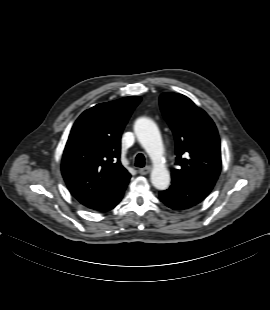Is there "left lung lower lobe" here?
<instances>
[{
  "mask_svg": "<svg viewBox=\"0 0 270 310\" xmlns=\"http://www.w3.org/2000/svg\"><path fill=\"white\" fill-rule=\"evenodd\" d=\"M212 188L189 184L172 178V185L159 193L161 201L174 210H185L203 201Z\"/></svg>",
  "mask_w": 270,
  "mask_h": 310,
  "instance_id": "left-lung-lower-lobe-1",
  "label": "left lung lower lobe"
}]
</instances>
